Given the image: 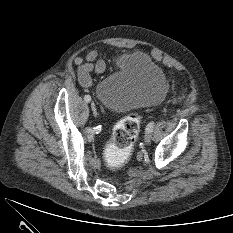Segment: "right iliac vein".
<instances>
[{
    "label": "right iliac vein",
    "instance_id": "63e3f726",
    "mask_svg": "<svg viewBox=\"0 0 233 233\" xmlns=\"http://www.w3.org/2000/svg\"><path fill=\"white\" fill-rule=\"evenodd\" d=\"M91 109H92L94 116L96 117L98 115V111H97V108L93 102L91 103Z\"/></svg>",
    "mask_w": 233,
    "mask_h": 233
}]
</instances>
